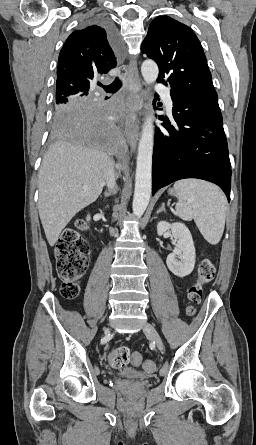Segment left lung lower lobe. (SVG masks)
Masks as SVG:
<instances>
[{
    "mask_svg": "<svg viewBox=\"0 0 256 445\" xmlns=\"http://www.w3.org/2000/svg\"><path fill=\"white\" fill-rule=\"evenodd\" d=\"M173 124L163 116L156 127L152 194L176 180L204 179L217 184L230 201L231 164L218 101L171 90Z\"/></svg>",
    "mask_w": 256,
    "mask_h": 445,
    "instance_id": "obj_1",
    "label": "left lung lower lobe"
}]
</instances>
